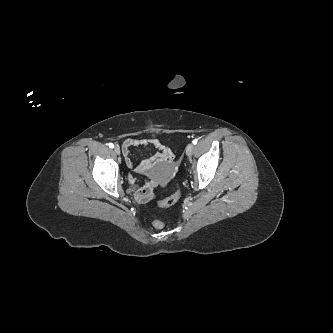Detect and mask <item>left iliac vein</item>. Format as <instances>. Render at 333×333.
Wrapping results in <instances>:
<instances>
[{
	"mask_svg": "<svg viewBox=\"0 0 333 333\" xmlns=\"http://www.w3.org/2000/svg\"><path fill=\"white\" fill-rule=\"evenodd\" d=\"M194 151V145L192 143L188 144L186 147V154L188 156H191L193 154Z\"/></svg>",
	"mask_w": 333,
	"mask_h": 333,
	"instance_id": "obj_1",
	"label": "left iliac vein"
}]
</instances>
